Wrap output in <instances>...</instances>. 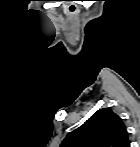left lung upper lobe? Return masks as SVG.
Listing matches in <instances>:
<instances>
[{"mask_svg": "<svg viewBox=\"0 0 140 147\" xmlns=\"http://www.w3.org/2000/svg\"><path fill=\"white\" fill-rule=\"evenodd\" d=\"M61 147H130V141L123 120L110 108H103L69 133Z\"/></svg>", "mask_w": 140, "mask_h": 147, "instance_id": "5c2ea615", "label": "left lung upper lobe"}]
</instances>
